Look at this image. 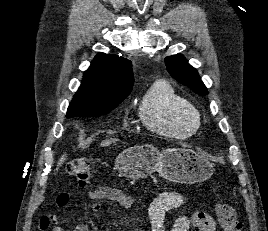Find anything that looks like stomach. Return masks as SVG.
<instances>
[{"label":"stomach","instance_id":"1","mask_svg":"<svg viewBox=\"0 0 268 231\" xmlns=\"http://www.w3.org/2000/svg\"><path fill=\"white\" fill-rule=\"evenodd\" d=\"M115 167L129 179L158 172L162 178L181 184L203 182L214 172V164L191 149L168 148L160 152L149 144L123 150L115 160Z\"/></svg>","mask_w":268,"mask_h":231}]
</instances>
